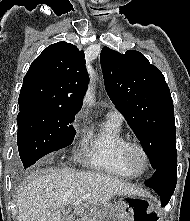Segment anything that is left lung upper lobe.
Listing matches in <instances>:
<instances>
[{
    "label": "left lung upper lobe",
    "mask_w": 190,
    "mask_h": 221,
    "mask_svg": "<svg viewBox=\"0 0 190 221\" xmlns=\"http://www.w3.org/2000/svg\"><path fill=\"white\" fill-rule=\"evenodd\" d=\"M107 94L142 144L155 170L176 153L173 100L164 75L140 52L108 47L100 55Z\"/></svg>",
    "instance_id": "left-lung-upper-lobe-1"
}]
</instances>
